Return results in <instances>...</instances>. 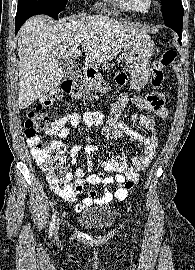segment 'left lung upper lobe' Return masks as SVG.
Masks as SVG:
<instances>
[{
  "instance_id": "left-lung-upper-lobe-1",
  "label": "left lung upper lobe",
  "mask_w": 195,
  "mask_h": 270,
  "mask_svg": "<svg viewBox=\"0 0 195 270\" xmlns=\"http://www.w3.org/2000/svg\"><path fill=\"white\" fill-rule=\"evenodd\" d=\"M165 25L170 28H182L184 9L181 0H161Z\"/></svg>"
}]
</instances>
